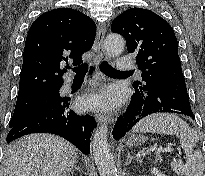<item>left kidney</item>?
<instances>
[{
	"label": "left kidney",
	"instance_id": "obj_1",
	"mask_svg": "<svg viewBox=\"0 0 205 176\" xmlns=\"http://www.w3.org/2000/svg\"><path fill=\"white\" fill-rule=\"evenodd\" d=\"M151 173L154 174L155 176H166L162 172L158 171L156 168L151 169Z\"/></svg>",
	"mask_w": 205,
	"mask_h": 176
}]
</instances>
